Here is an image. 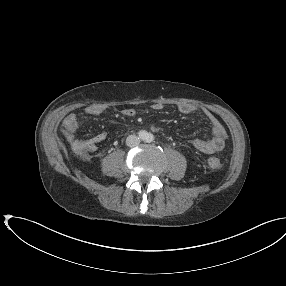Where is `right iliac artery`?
Listing matches in <instances>:
<instances>
[{"instance_id":"right-iliac-artery-1","label":"right iliac artery","mask_w":286,"mask_h":286,"mask_svg":"<svg viewBox=\"0 0 286 286\" xmlns=\"http://www.w3.org/2000/svg\"><path fill=\"white\" fill-rule=\"evenodd\" d=\"M138 136L140 139L144 140L147 137V133L144 130L139 131Z\"/></svg>"}]
</instances>
